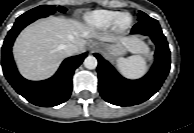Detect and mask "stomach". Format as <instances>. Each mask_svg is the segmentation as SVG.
<instances>
[{"label": "stomach", "mask_w": 194, "mask_h": 133, "mask_svg": "<svg viewBox=\"0 0 194 133\" xmlns=\"http://www.w3.org/2000/svg\"><path fill=\"white\" fill-rule=\"evenodd\" d=\"M106 51L107 55L117 57L124 54L126 48L122 43L118 42L116 44L106 46Z\"/></svg>", "instance_id": "obj_1"}]
</instances>
